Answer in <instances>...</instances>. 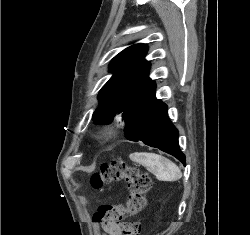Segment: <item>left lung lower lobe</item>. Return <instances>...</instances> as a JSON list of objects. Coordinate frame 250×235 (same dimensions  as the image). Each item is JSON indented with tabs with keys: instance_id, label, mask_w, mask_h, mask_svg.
I'll return each mask as SVG.
<instances>
[{
	"instance_id": "obj_1",
	"label": "left lung lower lobe",
	"mask_w": 250,
	"mask_h": 235,
	"mask_svg": "<svg viewBox=\"0 0 250 235\" xmlns=\"http://www.w3.org/2000/svg\"><path fill=\"white\" fill-rule=\"evenodd\" d=\"M156 85L151 81L133 104L125 133L131 141L169 153L186 165L178 143V131L168 118L167 105L155 96Z\"/></svg>"
}]
</instances>
